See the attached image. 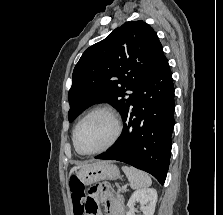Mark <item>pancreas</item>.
Listing matches in <instances>:
<instances>
[{
  "label": "pancreas",
  "instance_id": "pancreas-1",
  "mask_svg": "<svg viewBox=\"0 0 223 215\" xmlns=\"http://www.w3.org/2000/svg\"><path fill=\"white\" fill-rule=\"evenodd\" d=\"M117 191H127V189L126 190H123L122 187H121V185H117Z\"/></svg>",
  "mask_w": 223,
  "mask_h": 215
}]
</instances>
